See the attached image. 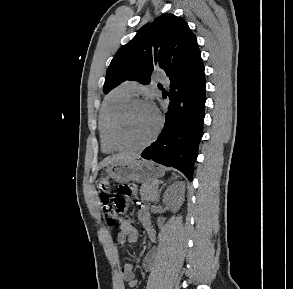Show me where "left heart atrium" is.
Listing matches in <instances>:
<instances>
[{"label": "left heart atrium", "mask_w": 293, "mask_h": 289, "mask_svg": "<svg viewBox=\"0 0 293 289\" xmlns=\"http://www.w3.org/2000/svg\"><path fill=\"white\" fill-rule=\"evenodd\" d=\"M153 111H154V109H153V106L152 105H148Z\"/></svg>", "instance_id": "left-heart-atrium-1"}]
</instances>
